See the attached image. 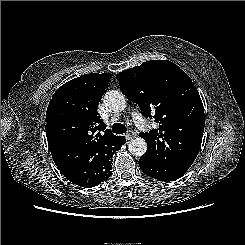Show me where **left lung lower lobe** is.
I'll return each mask as SVG.
<instances>
[{"mask_svg":"<svg viewBox=\"0 0 245 245\" xmlns=\"http://www.w3.org/2000/svg\"><path fill=\"white\" fill-rule=\"evenodd\" d=\"M139 166L141 170L148 176L165 182L179 179L188 170L179 167L165 166L159 163H155L144 157L139 159Z\"/></svg>","mask_w":245,"mask_h":245,"instance_id":"obj_1","label":"left lung lower lobe"}]
</instances>
